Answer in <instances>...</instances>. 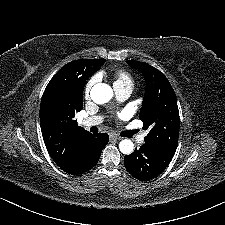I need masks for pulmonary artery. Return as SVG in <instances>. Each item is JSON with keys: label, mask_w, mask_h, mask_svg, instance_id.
<instances>
[{"label": "pulmonary artery", "mask_w": 225, "mask_h": 225, "mask_svg": "<svg viewBox=\"0 0 225 225\" xmlns=\"http://www.w3.org/2000/svg\"><path fill=\"white\" fill-rule=\"evenodd\" d=\"M114 89H115L116 97L119 101L127 100L133 91L132 88L114 87ZM101 121H102L101 116H92V117L83 119L80 122V124L82 127H90V126L99 124ZM145 135H146L145 133H142L137 137L136 140L138 144L142 145L144 143Z\"/></svg>", "instance_id": "pulmonary-artery-1"}]
</instances>
